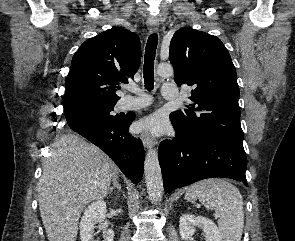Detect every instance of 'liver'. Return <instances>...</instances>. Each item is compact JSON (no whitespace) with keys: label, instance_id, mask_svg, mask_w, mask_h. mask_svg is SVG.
Masks as SVG:
<instances>
[{"label":"liver","instance_id":"obj_1","mask_svg":"<svg viewBox=\"0 0 295 241\" xmlns=\"http://www.w3.org/2000/svg\"><path fill=\"white\" fill-rule=\"evenodd\" d=\"M115 163L74 134L63 135L43 164L38 183L40 215L49 241H75L83 208L107 196Z\"/></svg>","mask_w":295,"mask_h":241}]
</instances>
